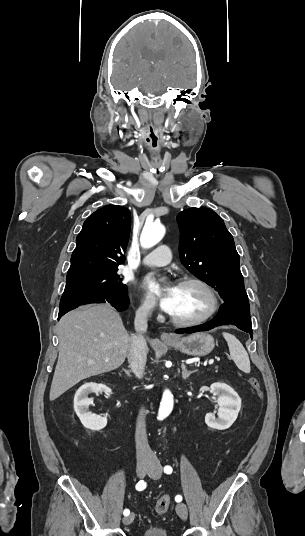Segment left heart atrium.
<instances>
[{"label":"left heart atrium","instance_id":"obj_1","mask_svg":"<svg viewBox=\"0 0 305 536\" xmlns=\"http://www.w3.org/2000/svg\"><path fill=\"white\" fill-rule=\"evenodd\" d=\"M175 288L161 292L160 280L154 276H146L141 282L142 291L151 299L156 300L164 311H171L175 300Z\"/></svg>","mask_w":305,"mask_h":536}]
</instances>
